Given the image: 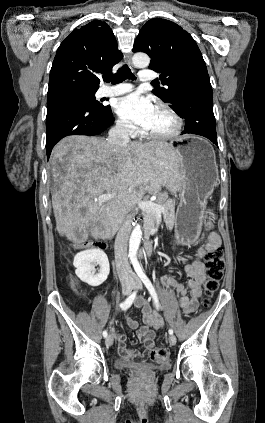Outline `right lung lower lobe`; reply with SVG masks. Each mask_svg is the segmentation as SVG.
<instances>
[{
    "instance_id": "obj_1",
    "label": "right lung lower lobe",
    "mask_w": 265,
    "mask_h": 423,
    "mask_svg": "<svg viewBox=\"0 0 265 423\" xmlns=\"http://www.w3.org/2000/svg\"><path fill=\"white\" fill-rule=\"evenodd\" d=\"M110 106L95 108L81 95L57 93L47 98L46 151L49 159L52 148L69 135H98L112 125Z\"/></svg>"
}]
</instances>
